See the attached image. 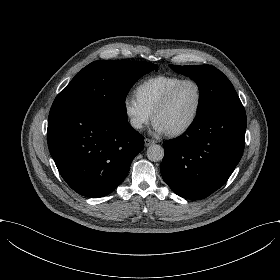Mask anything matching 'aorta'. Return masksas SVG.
<instances>
[{"label": "aorta", "instance_id": "1", "mask_svg": "<svg viewBox=\"0 0 280 280\" xmlns=\"http://www.w3.org/2000/svg\"><path fill=\"white\" fill-rule=\"evenodd\" d=\"M147 157L150 161H161L164 157V149L158 144H153L147 149Z\"/></svg>", "mask_w": 280, "mask_h": 280}]
</instances>
